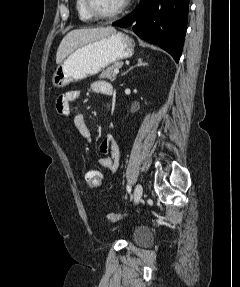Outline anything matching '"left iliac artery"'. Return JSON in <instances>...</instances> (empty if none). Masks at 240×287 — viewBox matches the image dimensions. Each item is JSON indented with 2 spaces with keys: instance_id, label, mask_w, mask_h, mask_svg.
I'll list each match as a JSON object with an SVG mask.
<instances>
[{
  "instance_id": "1",
  "label": "left iliac artery",
  "mask_w": 240,
  "mask_h": 287,
  "mask_svg": "<svg viewBox=\"0 0 240 287\" xmlns=\"http://www.w3.org/2000/svg\"><path fill=\"white\" fill-rule=\"evenodd\" d=\"M126 189L129 193L131 192V186L130 185H127Z\"/></svg>"
}]
</instances>
